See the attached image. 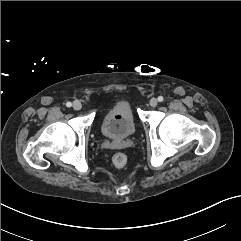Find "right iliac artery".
<instances>
[{
    "label": "right iliac artery",
    "instance_id": "82829eb1",
    "mask_svg": "<svg viewBox=\"0 0 241 241\" xmlns=\"http://www.w3.org/2000/svg\"><path fill=\"white\" fill-rule=\"evenodd\" d=\"M66 106H67V107H71V106H72V103H71V102H67V103H66Z\"/></svg>",
    "mask_w": 241,
    "mask_h": 241
}]
</instances>
